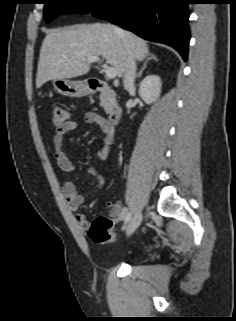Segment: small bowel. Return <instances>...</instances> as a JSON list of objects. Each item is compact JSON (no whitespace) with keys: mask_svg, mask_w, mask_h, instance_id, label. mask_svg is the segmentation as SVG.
Instances as JSON below:
<instances>
[{"mask_svg":"<svg viewBox=\"0 0 236 321\" xmlns=\"http://www.w3.org/2000/svg\"><path fill=\"white\" fill-rule=\"evenodd\" d=\"M85 121L88 124L96 125L99 131L104 135L103 148L96 156L97 160L102 162L108 157L110 147L114 143V124L95 112L86 114ZM76 128L77 123L75 121L68 120L63 125L56 127L52 139L53 153L57 164L59 168L68 175L72 174L76 167L64 151L65 136L76 130ZM87 173L96 178L98 188H101L104 185L103 176L94 167H89L87 169ZM63 194L67 207L71 211H77L78 208L87 200L86 196L78 189L76 183L71 180L64 183ZM108 212L116 221H120L124 218L126 210L122 207L120 202L116 201L108 203ZM75 221L82 229H87L89 226L86 216L82 213L75 214Z\"/></svg>","mask_w":236,"mask_h":321,"instance_id":"obj_1","label":"small bowel"}]
</instances>
